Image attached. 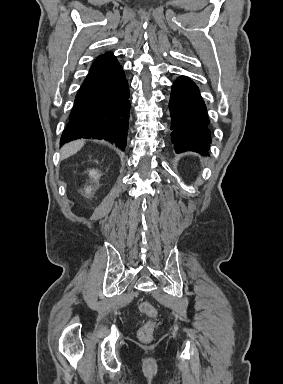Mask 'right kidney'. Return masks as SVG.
I'll return each mask as SVG.
<instances>
[{
	"label": "right kidney",
	"mask_w": 283,
	"mask_h": 384,
	"mask_svg": "<svg viewBox=\"0 0 283 384\" xmlns=\"http://www.w3.org/2000/svg\"><path fill=\"white\" fill-rule=\"evenodd\" d=\"M89 176L90 178H94V180H99L100 178V174H97L96 170H90ZM85 192L86 194H91L92 188H90V186H87V188H85Z\"/></svg>",
	"instance_id": "right-kidney-1"
}]
</instances>
